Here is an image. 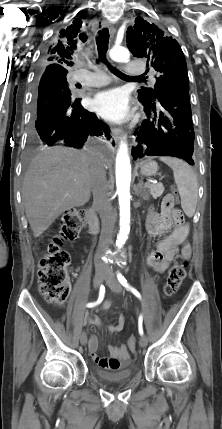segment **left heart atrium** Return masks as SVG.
<instances>
[{
	"mask_svg": "<svg viewBox=\"0 0 222 429\" xmlns=\"http://www.w3.org/2000/svg\"><path fill=\"white\" fill-rule=\"evenodd\" d=\"M93 108L106 120L122 121L129 113L128 96L120 88L103 91L95 97Z\"/></svg>",
	"mask_w": 222,
	"mask_h": 429,
	"instance_id": "obj_1",
	"label": "left heart atrium"
}]
</instances>
